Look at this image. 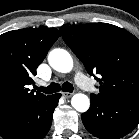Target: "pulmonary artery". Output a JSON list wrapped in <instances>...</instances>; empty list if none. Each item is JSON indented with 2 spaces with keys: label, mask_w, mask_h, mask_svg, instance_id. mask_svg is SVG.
Here are the masks:
<instances>
[{
  "label": "pulmonary artery",
  "mask_w": 139,
  "mask_h": 139,
  "mask_svg": "<svg viewBox=\"0 0 139 139\" xmlns=\"http://www.w3.org/2000/svg\"><path fill=\"white\" fill-rule=\"evenodd\" d=\"M75 81L81 88L85 90H92L93 88L89 79L82 72H78L75 75Z\"/></svg>",
  "instance_id": "pulmonary-artery-1"
}]
</instances>
